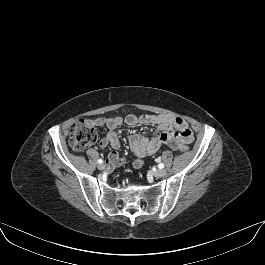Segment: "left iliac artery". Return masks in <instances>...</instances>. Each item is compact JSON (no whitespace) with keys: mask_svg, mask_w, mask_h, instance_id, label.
<instances>
[{"mask_svg":"<svg viewBox=\"0 0 265 265\" xmlns=\"http://www.w3.org/2000/svg\"><path fill=\"white\" fill-rule=\"evenodd\" d=\"M156 161H157V162H160L161 159H160V158H157ZM158 167H159L160 169H162V168H164V164H163V163H159Z\"/></svg>","mask_w":265,"mask_h":265,"instance_id":"1","label":"left iliac artery"}]
</instances>
